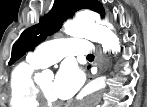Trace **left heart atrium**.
<instances>
[{
  "mask_svg": "<svg viewBox=\"0 0 147 107\" xmlns=\"http://www.w3.org/2000/svg\"><path fill=\"white\" fill-rule=\"evenodd\" d=\"M83 82V72L75 65L65 64L54 80L53 93L57 98L67 100L80 89Z\"/></svg>",
  "mask_w": 147,
  "mask_h": 107,
  "instance_id": "obj_1",
  "label": "left heart atrium"
}]
</instances>
